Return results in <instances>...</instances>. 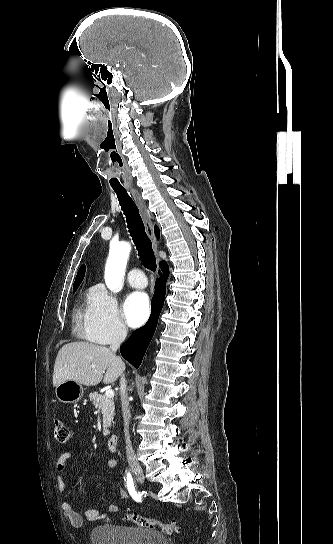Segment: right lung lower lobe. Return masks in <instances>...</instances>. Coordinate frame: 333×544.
Masks as SVG:
<instances>
[{"label": "right lung lower lobe", "mask_w": 333, "mask_h": 544, "mask_svg": "<svg viewBox=\"0 0 333 544\" xmlns=\"http://www.w3.org/2000/svg\"><path fill=\"white\" fill-rule=\"evenodd\" d=\"M164 277L168 275V267L162 264ZM165 298V281L158 279L157 287L152 298V311L148 322L136 331L129 340L122 344L120 352L128 362L138 368L142 362L146 349L155 332L158 317L161 312Z\"/></svg>", "instance_id": "1"}]
</instances>
